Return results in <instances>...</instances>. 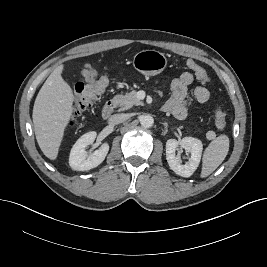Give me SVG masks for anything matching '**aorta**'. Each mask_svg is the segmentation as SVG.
<instances>
[{"instance_id":"aorta-1","label":"aorta","mask_w":267,"mask_h":267,"mask_svg":"<svg viewBox=\"0 0 267 267\" xmlns=\"http://www.w3.org/2000/svg\"><path fill=\"white\" fill-rule=\"evenodd\" d=\"M140 124L144 128H150L154 124V119H153V117L151 115H143L140 118Z\"/></svg>"}]
</instances>
